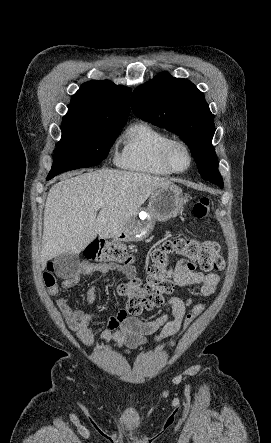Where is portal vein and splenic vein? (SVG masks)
Instances as JSON below:
<instances>
[{"instance_id":"18ae733b","label":"portal vein and splenic vein","mask_w":271,"mask_h":443,"mask_svg":"<svg viewBox=\"0 0 271 443\" xmlns=\"http://www.w3.org/2000/svg\"><path fill=\"white\" fill-rule=\"evenodd\" d=\"M102 206H103L102 202H97V204H94L93 208L97 212V210H100V208H102Z\"/></svg>"}]
</instances>
